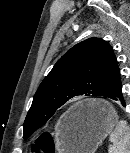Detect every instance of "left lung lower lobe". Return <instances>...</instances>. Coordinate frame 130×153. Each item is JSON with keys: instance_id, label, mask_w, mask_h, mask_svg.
<instances>
[{"instance_id": "1", "label": "left lung lower lobe", "mask_w": 130, "mask_h": 153, "mask_svg": "<svg viewBox=\"0 0 130 153\" xmlns=\"http://www.w3.org/2000/svg\"><path fill=\"white\" fill-rule=\"evenodd\" d=\"M100 96L110 98L116 101H121L122 105L125 106V102L122 95V85L120 82V71L117 63L114 66Z\"/></svg>"}]
</instances>
